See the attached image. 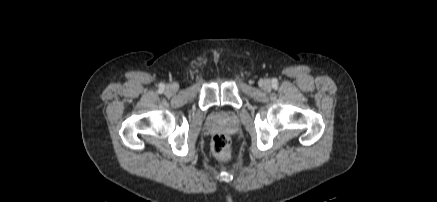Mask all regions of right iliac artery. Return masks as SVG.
Segmentation results:
<instances>
[{
	"mask_svg": "<svg viewBox=\"0 0 437 202\" xmlns=\"http://www.w3.org/2000/svg\"><path fill=\"white\" fill-rule=\"evenodd\" d=\"M160 89L163 90V89H164V85H161V86H160Z\"/></svg>",
	"mask_w": 437,
	"mask_h": 202,
	"instance_id": "82829eb1",
	"label": "right iliac artery"
}]
</instances>
